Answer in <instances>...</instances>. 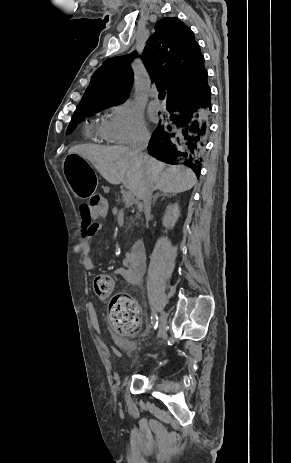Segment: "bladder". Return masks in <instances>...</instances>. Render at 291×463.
Instances as JSON below:
<instances>
[{"label":"bladder","mask_w":291,"mask_h":463,"mask_svg":"<svg viewBox=\"0 0 291 463\" xmlns=\"http://www.w3.org/2000/svg\"><path fill=\"white\" fill-rule=\"evenodd\" d=\"M117 346L123 354H131L136 349L132 340L127 338L118 339Z\"/></svg>","instance_id":"1"}]
</instances>
